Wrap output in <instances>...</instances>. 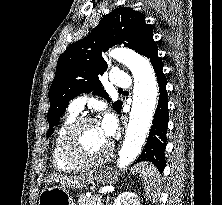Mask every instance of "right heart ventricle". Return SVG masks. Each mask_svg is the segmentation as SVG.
Returning <instances> with one entry per match:
<instances>
[{"label": "right heart ventricle", "mask_w": 222, "mask_h": 205, "mask_svg": "<svg viewBox=\"0 0 222 205\" xmlns=\"http://www.w3.org/2000/svg\"><path fill=\"white\" fill-rule=\"evenodd\" d=\"M77 117V113L74 112H69L68 115L65 117L63 120L62 124L58 128L53 145H52V163L54 168L57 171L60 172H70V171H75L80 168L79 165L73 164L69 162L63 152H62V138L65 133V131L68 129V127L74 122V120Z\"/></svg>", "instance_id": "1"}]
</instances>
